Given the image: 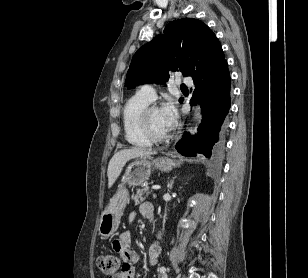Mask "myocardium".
Wrapping results in <instances>:
<instances>
[{
	"label": "myocardium",
	"mask_w": 308,
	"mask_h": 278,
	"mask_svg": "<svg viewBox=\"0 0 308 278\" xmlns=\"http://www.w3.org/2000/svg\"><path fill=\"white\" fill-rule=\"evenodd\" d=\"M159 109L157 105L155 104H149L147 105L139 115V126L143 132V134L151 141V142H163L166 141L169 138V134L166 133L164 135H157L153 132L151 129L150 123H149V115L153 110Z\"/></svg>",
	"instance_id": "1"
}]
</instances>
